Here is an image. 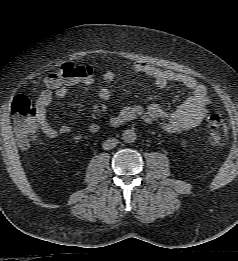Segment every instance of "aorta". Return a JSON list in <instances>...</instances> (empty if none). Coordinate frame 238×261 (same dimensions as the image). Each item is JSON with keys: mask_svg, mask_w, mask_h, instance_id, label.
Segmentation results:
<instances>
[{"mask_svg": "<svg viewBox=\"0 0 238 261\" xmlns=\"http://www.w3.org/2000/svg\"><path fill=\"white\" fill-rule=\"evenodd\" d=\"M122 139L125 143H132L136 140V133L132 129H127L123 132Z\"/></svg>", "mask_w": 238, "mask_h": 261, "instance_id": "obj_1", "label": "aorta"}]
</instances>
